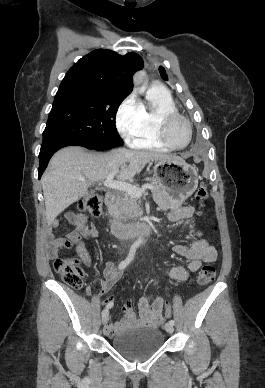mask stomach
<instances>
[{"label": "stomach", "mask_w": 265, "mask_h": 388, "mask_svg": "<svg viewBox=\"0 0 265 388\" xmlns=\"http://www.w3.org/2000/svg\"><path fill=\"white\" fill-rule=\"evenodd\" d=\"M154 178L172 198V207L181 205L198 187L196 169L183 159L157 160Z\"/></svg>", "instance_id": "obj_1"}]
</instances>
